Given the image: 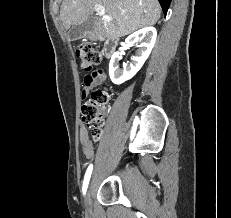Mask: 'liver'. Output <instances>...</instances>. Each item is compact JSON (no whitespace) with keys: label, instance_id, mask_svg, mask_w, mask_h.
Instances as JSON below:
<instances>
[{"label":"liver","instance_id":"6515ba94","mask_svg":"<svg viewBox=\"0 0 231 218\" xmlns=\"http://www.w3.org/2000/svg\"><path fill=\"white\" fill-rule=\"evenodd\" d=\"M96 4L102 5L105 16L94 19V30L108 39H119L143 27L156 24L160 18L157 0H63L60 18L65 30L93 14Z\"/></svg>","mask_w":231,"mask_h":218}]
</instances>
